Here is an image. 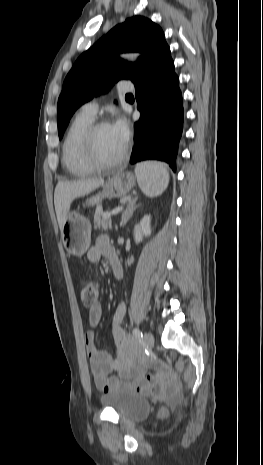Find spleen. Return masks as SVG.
Here are the masks:
<instances>
[{
	"instance_id": "spleen-1",
	"label": "spleen",
	"mask_w": 263,
	"mask_h": 465,
	"mask_svg": "<svg viewBox=\"0 0 263 465\" xmlns=\"http://www.w3.org/2000/svg\"><path fill=\"white\" fill-rule=\"evenodd\" d=\"M135 175L141 191L148 197L162 194L169 182L166 168L160 162H144L136 165Z\"/></svg>"
}]
</instances>
